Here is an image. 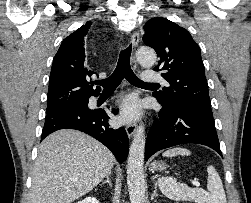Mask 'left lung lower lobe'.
I'll return each instance as SVG.
<instances>
[{
    "label": "left lung lower lobe",
    "instance_id": "obj_1",
    "mask_svg": "<svg viewBox=\"0 0 251 203\" xmlns=\"http://www.w3.org/2000/svg\"><path fill=\"white\" fill-rule=\"evenodd\" d=\"M187 143L206 145L222 156L213 114L191 104L162 106L147 135L145 160L159 150Z\"/></svg>",
    "mask_w": 251,
    "mask_h": 203
}]
</instances>
